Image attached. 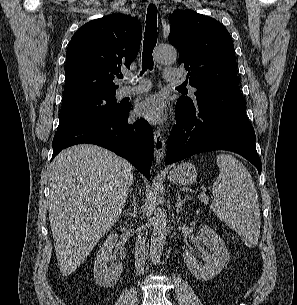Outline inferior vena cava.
I'll list each match as a JSON object with an SVG mask.
<instances>
[{"mask_svg":"<svg viewBox=\"0 0 297 305\" xmlns=\"http://www.w3.org/2000/svg\"><path fill=\"white\" fill-rule=\"evenodd\" d=\"M134 254L136 271L140 274L143 272L146 256L145 240L141 231L137 232Z\"/></svg>","mask_w":297,"mask_h":305,"instance_id":"inferior-vena-cava-1","label":"inferior vena cava"}]
</instances>
